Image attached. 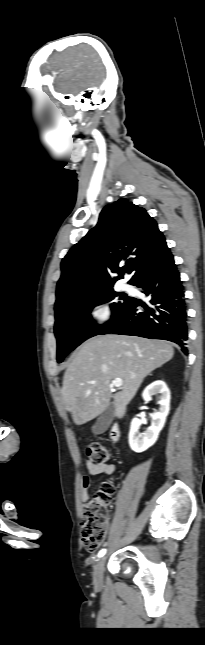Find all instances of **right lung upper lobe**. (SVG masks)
<instances>
[{"label":"right lung upper lobe","instance_id":"obj_1","mask_svg":"<svg viewBox=\"0 0 205 645\" xmlns=\"http://www.w3.org/2000/svg\"><path fill=\"white\" fill-rule=\"evenodd\" d=\"M170 257L162 232L145 209L126 199L107 205L97 225L61 262L55 314L82 296L112 289L123 278L121 270L134 272L131 284L142 272ZM110 273L119 275L112 278Z\"/></svg>","mask_w":205,"mask_h":645}]
</instances>
